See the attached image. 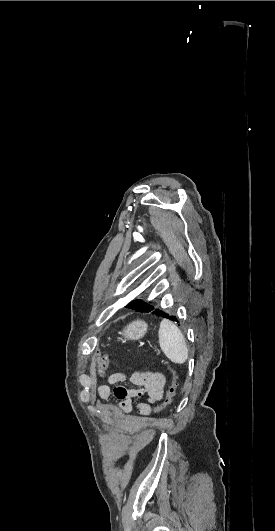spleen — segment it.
Wrapping results in <instances>:
<instances>
[{
	"mask_svg": "<svg viewBox=\"0 0 275 531\" xmlns=\"http://www.w3.org/2000/svg\"><path fill=\"white\" fill-rule=\"evenodd\" d=\"M159 345L166 357L176 363L182 365L188 359V349L184 335L179 327L169 321V319H162L158 333Z\"/></svg>",
	"mask_w": 275,
	"mask_h": 531,
	"instance_id": "obj_1",
	"label": "spleen"
}]
</instances>
